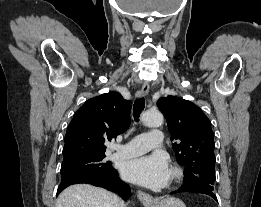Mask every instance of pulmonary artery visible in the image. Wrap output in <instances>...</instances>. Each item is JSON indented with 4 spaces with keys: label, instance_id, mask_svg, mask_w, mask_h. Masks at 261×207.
<instances>
[{
    "label": "pulmonary artery",
    "instance_id": "1",
    "mask_svg": "<svg viewBox=\"0 0 261 207\" xmlns=\"http://www.w3.org/2000/svg\"><path fill=\"white\" fill-rule=\"evenodd\" d=\"M163 133L159 130H153L140 134L124 145H117L113 158L126 159L139 156L151 149H157L162 146Z\"/></svg>",
    "mask_w": 261,
    "mask_h": 207
}]
</instances>
